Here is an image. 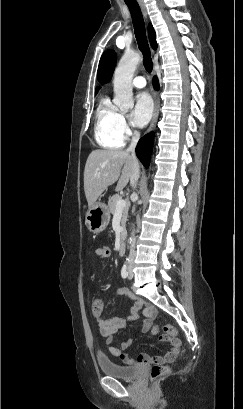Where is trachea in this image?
Wrapping results in <instances>:
<instances>
[{"instance_id":"1","label":"trachea","mask_w":243,"mask_h":409,"mask_svg":"<svg viewBox=\"0 0 243 409\" xmlns=\"http://www.w3.org/2000/svg\"><path fill=\"white\" fill-rule=\"evenodd\" d=\"M126 5L128 6L132 22L134 25V32L135 37L138 43V47L143 54V64L147 72L152 71V58L151 52L149 49L147 37H146V30H145V23L143 20V16L140 10V7L136 1L129 2L125 0Z\"/></svg>"}]
</instances>
